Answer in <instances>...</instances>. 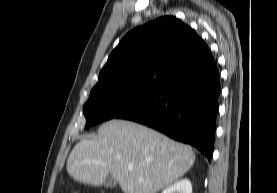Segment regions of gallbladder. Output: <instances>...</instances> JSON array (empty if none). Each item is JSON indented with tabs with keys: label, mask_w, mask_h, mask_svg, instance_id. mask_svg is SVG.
Segmentation results:
<instances>
[{
	"label": "gallbladder",
	"mask_w": 277,
	"mask_h": 193,
	"mask_svg": "<svg viewBox=\"0 0 277 193\" xmlns=\"http://www.w3.org/2000/svg\"><path fill=\"white\" fill-rule=\"evenodd\" d=\"M103 185L108 189L115 188L117 186V181L113 177L108 176Z\"/></svg>",
	"instance_id": "gallbladder-1"
}]
</instances>
